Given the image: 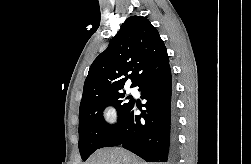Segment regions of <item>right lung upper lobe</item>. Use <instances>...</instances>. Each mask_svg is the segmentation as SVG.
Wrapping results in <instances>:
<instances>
[{"mask_svg": "<svg viewBox=\"0 0 251 164\" xmlns=\"http://www.w3.org/2000/svg\"><path fill=\"white\" fill-rule=\"evenodd\" d=\"M169 63L166 47L155 27L143 16H131L109 46L92 63L84 83L80 108L121 92L132 71V86Z\"/></svg>", "mask_w": 251, "mask_h": 164, "instance_id": "obj_1", "label": "right lung upper lobe"}]
</instances>
